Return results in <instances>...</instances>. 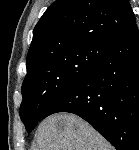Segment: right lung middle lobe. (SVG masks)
I'll return each instance as SVG.
<instances>
[{
    "instance_id": "right-lung-middle-lobe-1",
    "label": "right lung middle lobe",
    "mask_w": 139,
    "mask_h": 150,
    "mask_svg": "<svg viewBox=\"0 0 139 150\" xmlns=\"http://www.w3.org/2000/svg\"><path fill=\"white\" fill-rule=\"evenodd\" d=\"M109 45L89 46L57 53L27 73L22 85L20 117L31 132L48 107L81 80Z\"/></svg>"
}]
</instances>
